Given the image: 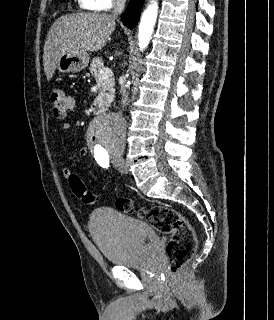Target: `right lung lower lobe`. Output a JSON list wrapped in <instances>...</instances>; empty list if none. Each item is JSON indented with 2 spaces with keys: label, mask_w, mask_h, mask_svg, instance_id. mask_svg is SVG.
I'll return each mask as SVG.
<instances>
[{
  "label": "right lung lower lobe",
  "mask_w": 274,
  "mask_h": 320,
  "mask_svg": "<svg viewBox=\"0 0 274 320\" xmlns=\"http://www.w3.org/2000/svg\"><path fill=\"white\" fill-rule=\"evenodd\" d=\"M143 4V0H131L128 7L126 8L121 20L125 26L132 29L140 16V8Z\"/></svg>",
  "instance_id": "right-lung-lower-lobe-1"
}]
</instances>
